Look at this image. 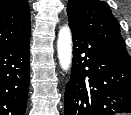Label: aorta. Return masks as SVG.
Listing matches in <instances>:
<instances>
[{"label": "aorta", "mask_w": 131, "mask_h": 115, "mask_svg": "<svg viewBox=\"0 0 131 115\" xmlns=\"http://www.w3.org/2000/svg\"><path fill=\"white\" fill-rule=\"evenodd\" d=\"M57 53L61 68L67 71L72 62V36L67 26L62 27L58 33Z\"/></svg>", "instance_id": "obj_1"}]
</instances>
